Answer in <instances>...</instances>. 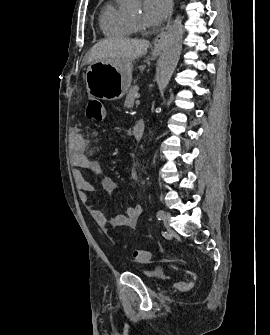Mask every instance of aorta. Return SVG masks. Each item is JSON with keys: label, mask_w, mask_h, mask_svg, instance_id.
<instances>
[{"label": "aorta", "mask_w": 270, "mask_h": 335, "mask_svg": "<svg viewBox=\"0 0 270 335\" xmlns=\"http://www.w3.org/2000/svg\"><path fill=\"white\" fill-rule=\"evenodd\" d=\"M182 38V20L181 16H177L176 20L172 22L169 28L163 48V54L161 56L160 78L158 80L161 96H163V92L165 88H167L178 64L182 48Z\"/></svg>", "instance_id": "1"}]
</instances>
